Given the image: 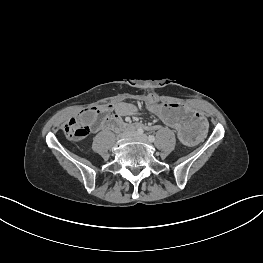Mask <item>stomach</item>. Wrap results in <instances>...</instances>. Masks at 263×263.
Instances as JSON below:
<instances>
[{
  "label": "stomach",
  "instance_id": "stomach-1",
  "mask_svg": "<svg viewBox=\"0 0 263 263\" xmlns=\"http://www.w3.org/2000/svg\"><path fill=\"white\" fill-rule=\"evenodd\" d=\"M149 111L154 118L174 128L178 140L188 147L204 143L211 133L209 122L198 110L187 111L175 103H152Z\"/></svg>",
  "mask_w": 263,
  "mask_h": 263
}]
</instances>
